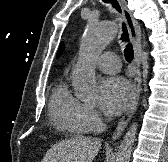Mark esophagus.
<instances>
[{
  "mask_svg": "<svg viewBox=\"0 0 168 162\" xmlns=\"http://www.w3.org/2000/svg\"><path fill=\"white\" fill-rule=\"evenodd\" d=\"M118 2L121 6L123 17H124V20L128 28L130 41L134 47V53H135L134 64L136 66V74H135L134 82H133V96H132L131 104L128 110L126 111V113L122 116V118L118 122V125L112 136L113 141L117 140L121 136L124 129L128 125L130 119L134 115L138 102H139L140 93L142 90L141 73H140L141 51H142L141 30H140L138 23L133 18L130 10L127 8L126 1L118 0Z\"/></svg>",
  "mask_w": 168,
  "mask_h": 162,
  "instance_id": "1",
  "label": "esophagus"
}]
</instances>
